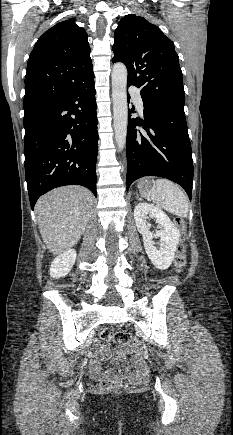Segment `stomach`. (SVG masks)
<instances>
[{
  "instance_id": "stomach-1",
  "label": "stomach",
  "mask_w": 233,
  "mask_h": 435,
  "mask_svg": "<svg viewBox=\"0 0 233 435\" xmlns=\"http://www.w3.org/2000/svg\"><path fill=\"white\" fill-rule=\"evenodd\" d=\"M139 187L140 188H148V187H150V184H149V182L147 180H145L144 182H141L139 184Z\"/></svg>"
}]
</instances>
